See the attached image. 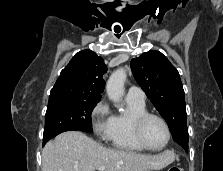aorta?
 Instances as JSON below:
<instances>
[{
	"instance_id": "aorta-1",
	"label": "aorta",
	"mask_w": 223,
	"mask_h": 171,
	"mask_svg": "<svg viewBox=\"0 0 223 171\" xmlns=\"http://www.w3.org/2000/svg\"><path fill=\"white\" fill-rule=\"evenodd\" d=\"M127 74L123 68L117 69L109 77L106 84V91L109 99L114 103L120 102L124 95V83Z\"/></svg>"
}]
</instances>
